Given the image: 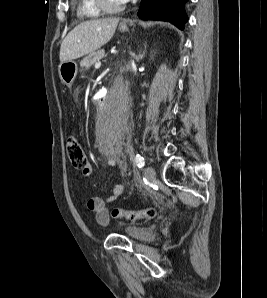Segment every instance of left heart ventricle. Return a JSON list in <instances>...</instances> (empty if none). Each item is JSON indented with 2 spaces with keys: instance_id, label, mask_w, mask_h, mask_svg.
Instances as JSON below:
<instances>
[{
  "instance_id": "1",
  "label": "left heart ventricle",
  "mask_w": 267,
  "mask_h": 298,
  "mask_svg": "<svg viewBox=\"0 0 267 298\" xmlns=\"http://www.w3.org/2000/svg\"><path fill=\"white\" fill-rule=\"evenodd\" d=\"M111 5H120L122 4L120 0H108Z\"/></svg>"
}]
</instances>
